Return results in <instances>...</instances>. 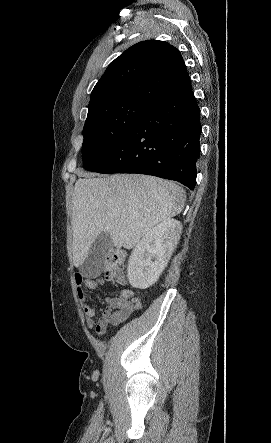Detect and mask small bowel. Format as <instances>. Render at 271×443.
<instances>
[{
  "label": "small bowel",
  "mask_w": 271,
  "mask_h": 443,
  "mask_svg": "<svg viewBox=\"0 0 271 443\" xmlns=\"http://www.w3.org/2000/svg\"><path fill=\"white\" fill-rule=\"evenodd\" d=\"M75 284L77 286V296L85 315L86 325L89 329H94L98 336L104 335L109 325L118 326L126 321L133 312L142 307L141 301L133 298V292L130 289H123L117 296L105 299L107 308L103 315L96 320V311L88 303L84 288L95 290L104 284V280L101 277L91 278L76 274Z\"/></svg>",
  "instance_id": "small-bowel-1"
}]
</instances>
